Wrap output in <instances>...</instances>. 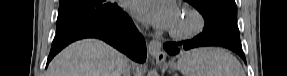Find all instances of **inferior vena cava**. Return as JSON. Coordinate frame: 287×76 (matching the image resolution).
I'll list each match as a JSON object with an SVG mask.
<instances>
[{"label":"inferior vena cava","mask_w":287,"mask_h":76,"mask_svg":"<svg viewBox=\"0 0 287 76\" xmlns=\"http://www.w3.org/2000/svg\"><path fill=\"white\" fill-rule=\"evenodd\" d=\"M123 76H130V67L127 65L123 71Z\"/></svg>","instance_id":"1"}]
</instances>
